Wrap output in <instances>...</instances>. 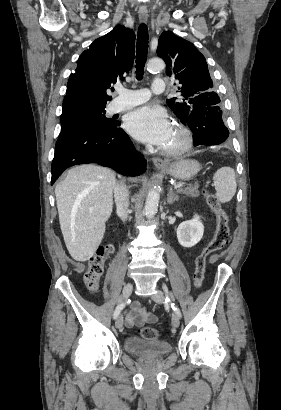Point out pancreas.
Segmentation results:
<instances>
[{"mask_svg": "<svg viewBox=\"0 0 281 410\" xmlns=\"http://www.w3.org/2000/svg\"><path fill=\"white\" fill-rule=\"evenodd\" d=\"M177 192L186 194L187 196L194 197V198L199 196L198 186L188 185L184 188H179Z\"/></svg>", "mask_w": 281, "mask_h": 410, "instance_id": "cf45deb5", "label": "pancreas"}]
</instances>
